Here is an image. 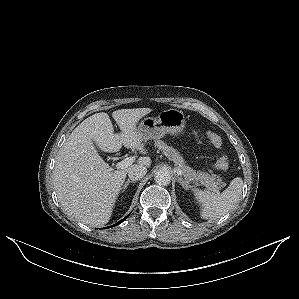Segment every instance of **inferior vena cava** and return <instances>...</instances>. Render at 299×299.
Segmentation results:
<instances>
[{
    "label": "inferior vena cava",
    "instance_id": "obj_1",
    "mask_svg": "<svg viewBox=\"0 0 299 299\" xmlns=\"http://www.w3.org/2000/svg\"><path fill=\"white\" fill-rule=\"evenodd\" d=\"M147 173V168L143 165H133L129 168L128 176L132 181L142 179Z\"/></svg>",
    "mask_w": 299,
    "mask_h": 299
}]
</instances>
